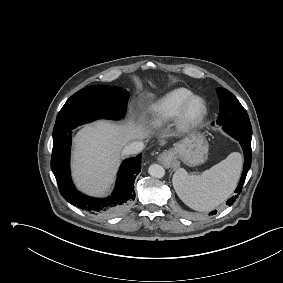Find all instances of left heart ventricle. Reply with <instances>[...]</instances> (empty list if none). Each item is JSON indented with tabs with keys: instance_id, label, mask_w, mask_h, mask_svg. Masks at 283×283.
Wrapping results in <instances>:
<instances>
[{
	"instance_id": "1",
	"label": "left heart ventricle",
	"mask_w": 283,
	"mask_h": 283,
	"mask_svg": "<svg viewBox=\"0 0 283 283\" xmlns=\"http://www.w3.org/2000/svg\"><path fill=\"white\" fill-rule=\"evenodd\" d=\"M196 108H197V105H196V104H194V105L192 106L191 110H192V111H195V110H196Z\"/></svg>"
}]
</instances>
